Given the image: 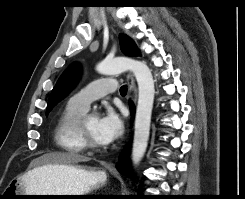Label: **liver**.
Here are the masks:
<instances>
[{
	"mask_svg": "<svg viewBox=\"0 0 245 199\" xmlns=\"http://www.w3.org/2000/svg\"><path fill=\"white\" fill-rule=\"evenodd\" d=\"M89 161L88 157L79 155V154H74V153H63V152H54L50 154L43 155L39 160H38V167L41 166H48V165H69V164H75L78 162H86ZM36 167V168H38ZM34 168V169H36ZM33 169V170H34ZM31 171L28 172V174Z\"/></svg>",
	"mask_w": 245,
	"mask_h": 199,
	"instance_id": "1",
	"label": "liver"
}]
</instances>
